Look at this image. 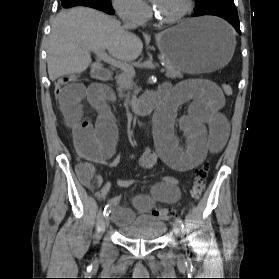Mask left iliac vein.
Returning <instances> with one entry per match:
<instances>
[{
	"label": "left iliac vein",
	"mask_w": 279,
	"mask_h": 279,
	"mask_svg": "<svg viewBox=\"0 0 279 279\" xmlns=\"http://www.w3.org/2000/svg\"><path fill=\"white\" fill-rule=\"evenodd\" d=\"M181 227L179 225V223L176 221L173 223V232L175 235H180L181 234Z\"/></svg>",
	"instance_id": "1"
}]
</instances>
